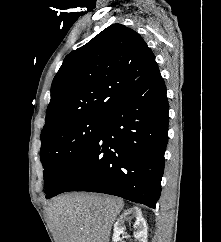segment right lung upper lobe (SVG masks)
<instances>
[{"instance_id":"right-lung-upper-lobe-1","label":"right lung upper lobe","mask_w":221,"mask_h":242,"mask_svg":"<svg viewBox=\"0 0 221 242\" xmlns=\"http://www.w3.org/2000/svg\"><path fill=\"white\" fill-rule=\"evenodd\" d=\"M157 74L154 54L143 38L112 24L65 57L51 85L42 134L83 117H103Z\"/></svg>"}]
</instances>
